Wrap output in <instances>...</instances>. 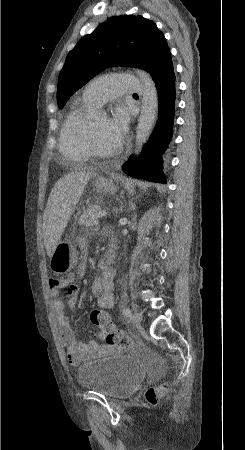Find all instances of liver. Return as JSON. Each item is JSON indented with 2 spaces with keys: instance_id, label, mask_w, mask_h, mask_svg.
<instances>
[{
  "instance_id": "1",
  "label": "liver",
  "mask_w": 245,
  "mask_h": 450,
  "mask_svg": "<svg viewBox=\"0 0 245 450\" xmlns=\"http://www.w3.org/2000/svg\"><path fill=\"white\" fill-rule=\"evenodd\" d=\"M94 176L95 169L83 168L68 173L52 188L43 217L44 244L50 258L88 181Z\"/></svg>"
}]
</instances>
